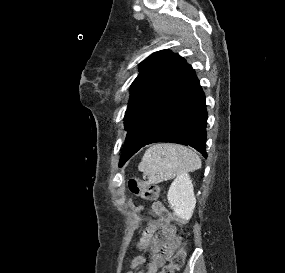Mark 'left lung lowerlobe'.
<instances>
[{
  "label": "left lung lower lobe",
  "mask_w": 285,
  "mask_h": 273,
  "mask_svg": "<svg viewBox=\"0 0 285 273\" xmlns=\"http://www.w3.org/2000/svg\"><path fill=\"white\" fill-rule=\"evenodd\" d=\"M206 124L205 95L187 64L172 88L128 130L119 166L145 145L156 142L189 145L206 158Z\"/></svg>",
  "instance_id": "1"
}]
</instances>
